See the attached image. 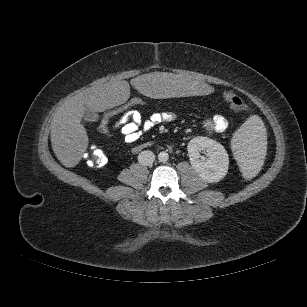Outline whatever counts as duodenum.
I'll return each instance as SVG.
<instances>
[{
	"mask_svg": "<svg viewBox=\"0 0 307 307\" xmlns=\"http://www.w3.org/2000/svg\"><path fill=\"white\" fill-rule=\"evenodd\" d=\"M145 146H146V144H141V145L135 147L134 150H135V151H138V150L142 149V148L145 147Z\"/></svg>",
	"mask_w": 307,
	"mask_h": 307,
	"instance_id": "410a0bca",
	"label": "duodenum"
}]
</instances>
